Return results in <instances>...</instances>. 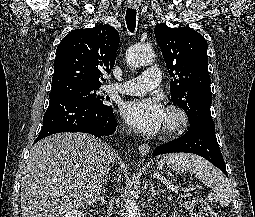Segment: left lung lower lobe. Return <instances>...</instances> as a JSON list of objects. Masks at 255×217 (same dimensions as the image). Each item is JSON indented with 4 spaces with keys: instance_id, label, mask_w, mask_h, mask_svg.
I'll use <instances>...</instances> for the list:
<instances>
[{
    "instance_id": "0a47b994",
    "label": "left lung lower lobe",
    "mask_w": 255,
    "mask_h": 217,
    "mask_svg": "<svg viewBox=\"0 0 255 217\" xmlns=\"http://www.w3.org/2000/svg\"><path fill=\"white\" fill-rule=\"evenodd\" d=\"M173 152L194 153L204 157L228 176L215 135L214 122H200L190 126L185 135L170 143L160 145L154 150L153 155Z\"/></svg>"
}]
</instances>
